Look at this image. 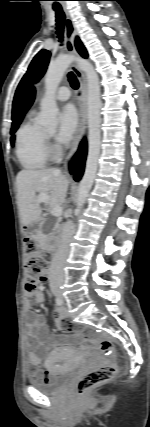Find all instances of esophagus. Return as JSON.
<instances>
[{
	"label": "esophagus",
	"mask_w": 150,
	"mask_h": 427,
	"mask_svg": "<svg viewBox=\"0 0 150 427\" xmlns=\"http://www.w3.org/2000/svg\"><path fill=\"white\" fill-rule=\"evenodd\" d=\"M65 12V36H66V49L67 52L73 57V63L71 65V69L76 75L79 81V91H78V110H79V124L74 136L71 149L65 161V166L71 161L73 156L75 155L79 143L82 140L85 131H86V122H87V102H86V94H87V81L84 73L79 68L76 57L78 55L77 50L75 48V34L76 29L74 22L68 12V10L64 7Z\"/></svg>",
	"instance_id": "obj_1"
}]
</instances>
